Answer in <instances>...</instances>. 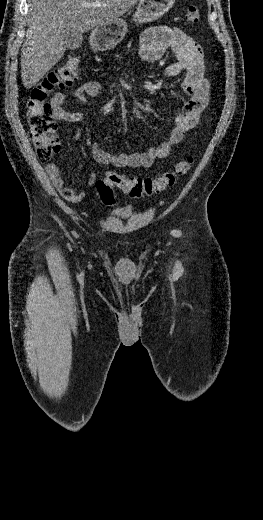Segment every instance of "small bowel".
<instances>
[{
    "label": "small bowel",
    "instance_id": "obj_1",
    "mask_svg": "<svg viewBox=\"0 0 263 520\" xmlns=\"http://www.w3.org/2000/svg\"><path fill=\"white\" fill-rule=\"evenodd\" d=\"M167 51L174 52L177 61L165 68V75L172 78L185 72L182 88L188 96V100L174 117V127L168 138L157 146L147 147L144 152L133 154H110L97 142H94L91 145V153L98 163L119 168H149L155 160L167 157L171 153L172 147L183 140L185 133L198 124L200 115L210 98V83L204 74L202 49L179 28L156 26L144 31L138 49L139 58L142 61H159ZM101 90L102 86L98 82L87 81L76 87L72 91V95L81 103H85L88 97L99 95ZM66 100L67 95L61 92L51 98L50 104L54 117L61 121L81 123L83 114L66 109ZM45 168L54 187L64 199L73 203L84 199V191H77L65 184L60 168L55 163L49 162ZM96 181L97 175H92L89 183L93 185Z\"/></svg>",
    "mask_w": 263,
    "mask_h": 520
}]
</instances>
